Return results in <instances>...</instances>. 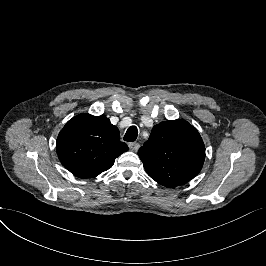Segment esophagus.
Listing matches in <instances>:
<instances>
[{"label":"esophagus","instance_id":"obj_1","mask_svg":"<svg viewBox=\"0 0 266 266\" xmlns=\"http://www.w3.org/2000/svg\"><path fill=\"white\" fill-rule=\"evenodd\" d=\"M128 147L132 151H137L139 149V147H140V144L138 142H130L128 144Z\"/></svg>","mask_w":266,"mask_h":266}]
</instances>
